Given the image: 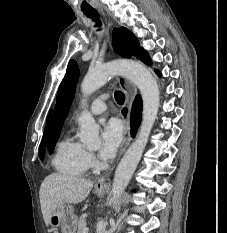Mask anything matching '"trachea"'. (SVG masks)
Listing matches in <instances>:
<instances>
[{"mask_svg":"<svg viewBox=\"0 0 227 233\" xmlns=\"http://www.w3.org/2000/svg\"><path fill=\"white\" fill-rule=\"evenodd\" d=\"M84 14L92 19L94 22H96V27H100L101 26V22H100V19H99V15L97 13V11H87V12H84ZM115 100L118 104L122 105L124 103V100H125V95L124 93H122L121 91H116L115 94Z\"/></svg>","mask_w":227,"mask_h":233,"instance_id":"1","label":"trachea"}]
</instances>
